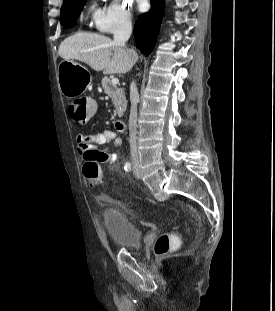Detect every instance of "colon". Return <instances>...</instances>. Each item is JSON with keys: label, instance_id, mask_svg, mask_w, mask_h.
<instances>
[{"label": "colon", "instance_id": "5ec220e1", "mask_svg": "<svg viewBox=\"0 0 275 311\" xmlns=\"http://www.w3.org/2000/svg\"><path fill=\"white\" fill-rule=\"evenodd\" d=\"M101 103V97H83L71 102L69 111L76 125H89V121H94V117L99 116L98 104ZM97 161L92 160L84 165L85 179L92 187H96L102 179V170ZM180 245L181 240L177 236L163 233L157 238L154 249L156 254L164 255L179 248Z\"/></svg>", "mask_w": 275, "mask_h": 311}]
</instances>
